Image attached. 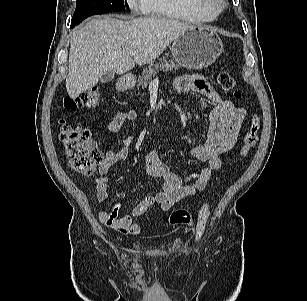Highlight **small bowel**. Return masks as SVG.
Segmentation results:
<instances>
[{
	"label": "small bowel",
	"mask_w": 307,
	"mask_h": 301,
	"mask_svg": "<svg viewBox=\"0 0 307 301\" xmlns=\"http://www.w3.org/2000/svg\"><path fill=\"white\" fill-rule=\"evenodd\" d=\"M174 89L178 93L195 92L203 96L210 104L209 127L204 144L192 149V156L206 166L182 180L175 175L161 160L157 150L150 151L145 156L147 172L150 176L161 180V190L158 193H148L145 198L133 206L131 210L120 216L121 202L117 201L110 210L99 213L100 221L107 227L122 234L137 235L144 229L153 226V222L142 224L137 218L157 204L162 212L168 211L174 203L182 198L202 191L213 174L221 169V156L228 152L236 143L246 112L232 101L222 99L212 86L200 75H183L174 81ZM138 117L134 109L120 111L107 123L110 132H125L126 138L116 150H107L98 168L99 175L95 178L97 199L104 203L108 200V178L106 174L119 161L129 155L131 136L128 134L127 122Z\"/></svg>",
	"instance_id": "obj_1"
}]
</instances>
